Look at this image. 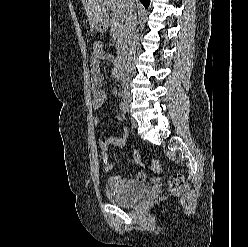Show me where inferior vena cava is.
<instances>
[{
    "label": "inferior vena cava",
    "instance_id": "602c4592",
    "mask_svg": "<svg viewBox=\"0 0 248 247\" xmlns=\"http://www.w3.org/2000/svg\"><path fill=\"white\" fill-rule=\"evenodd\" d=\"M124 19L127 28V37H128V47L126 53V59L128 62V71H131V61L135 58L136 55V10L134 0H125L124 5Z\"/></svg>",
    "mask_w": 248,
    "mask_h": 247
}]
</instances>
